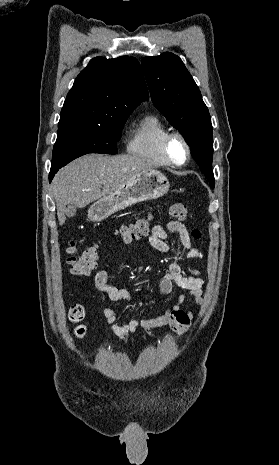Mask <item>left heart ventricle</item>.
Masks as SVG:
<instances>
[{
	"label": "left heart ventricle",
	"mask_w": 279,
	"mask_h": 465,
	"mask_svg": "<svg viewBox=\"0 0 279 465\" xmlns=\"http://www.w3.org/2000/svg\"><path fill=\"white\" fill-rule=\"evenodd\" d=\"M170 155L174 161L181 163L186 157V149L179 139H174L169 147Z\"/></svg>",
	"instance_id": "b2bd125f"
}]
</instances>
